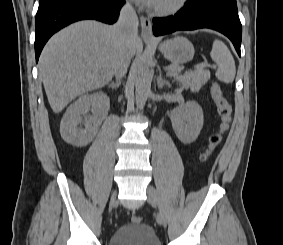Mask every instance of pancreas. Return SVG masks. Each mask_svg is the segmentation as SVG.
Returning a JSON list of instances; mask_svg holds the SVG:
<instances>
[{
	"label": "pancreas",
	"mask_w": 283,
	"mask_h": 245,
	"mask_svg": "<svg viewBox=\"0 0 283 245\" xmlns=\"http://www.w3.org/2000/svg\"><path fill=\"white\" fill-rule=\"evenodd\" d=\"M182 67L172 64L168 67L170 76L174 77L185 89L197 92L210 79V71L205 69H196L180 74Z\"/></svg>",
	"instance_id": "1"
}]
</instances>
